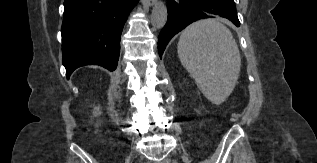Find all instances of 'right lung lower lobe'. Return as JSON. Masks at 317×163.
Masks as SVG:
<instances>
[{"label":"right lung lower lobe","mask_w":317,"mask_h":163,"mask_svg":"<svg viewBox=\"0 0 317 163\" xmlns=\"http://www.w3.org/2000/svg\"><path fill=\"white\" fill-rule=\"evenodd\" d=\"M138 0H65L61 28L63 65L67 79L78 67H117L120 37Z\"/></svg>","instance_id":"obj_1"}]
</instances>
